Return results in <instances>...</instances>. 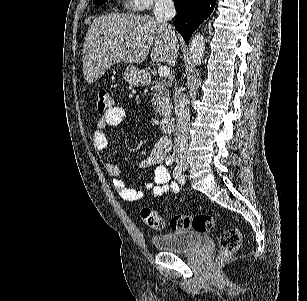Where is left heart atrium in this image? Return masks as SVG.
<instances>
[{"label":"left heart atrium","instance_id":"1","mask_svg":"<svg viewBox=\"0 0 307 301\" xmlns=\"http://www.w3.org/2000/svg\"><path fill=\"white\" fill-rule=\"evenodd\" d=\"M155 62H171V61H155Z\"/></svg>","mask_w":307,"mask_h":301}]
</instances>
